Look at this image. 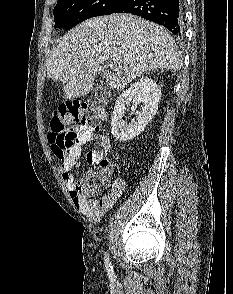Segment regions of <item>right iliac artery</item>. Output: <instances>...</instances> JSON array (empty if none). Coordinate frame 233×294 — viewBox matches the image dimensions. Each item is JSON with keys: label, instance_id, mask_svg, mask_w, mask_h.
<instances>
[{"label": "right iliac artery", "instance_id": "right-iliac-artery-1", "mask_svg": "<svg viewBox=\"0 0 233 294\" xmlns=\"http://www.w3.org/2000/svg\"><path fill=\"white\" fill-rule=\"evenodd\" d=\"M104 261H105V267H106L108 274L113 275V267L111 265V262L109 260V257L107 256V254H105Z\"/></svg>", "mask_w": 233, "mask_h": 294}]
</instances>
